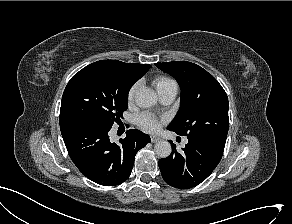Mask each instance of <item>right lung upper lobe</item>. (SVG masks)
<instances>
[{"instance_id":"cb5924a9","label":"right lung upper lobe","mask_w":292,"mask_h":224,"mask_svg":"<svg viewBox=\"0 0 292 224\" xmlns=\"http://www.w3.org/2000/svg\"><path fill=\"white\" fill-rule=\"evenodd\" d=\"M117 61V60H116ZM129 73L130 77L136 82L140 79L150 68L149 64H132L118 61Z\"/></svg>"}]
</instances>
